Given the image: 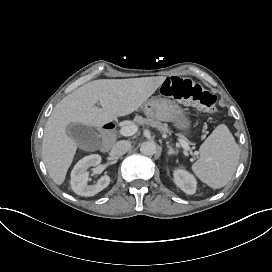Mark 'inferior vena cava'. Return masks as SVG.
Here are the masks:
<instances>
[{
	"instance_id": "inferior-vena-cava-1",
	"label": "inferior vena cava",
	"mask_w": 272,
	"mask_h": 272,
	"mask_svg": "<svg viewBox=\"0 0 272 272\" xmlns=\"http://www.w3.org/2000/svg\"><path fill=\"white\" fill-rule=\"evenodd\" d=\"M131 143L126 140H121L115 143L111 153L112 155H123L130 149Z\"/></svg>"
}]
</instances>
